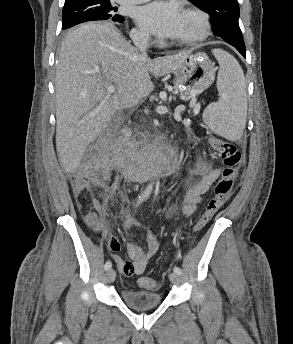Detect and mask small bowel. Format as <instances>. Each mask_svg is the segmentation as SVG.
<instances>
[{"label": "small bowel", "mask_w": 293, "mask_h": 344, "mask_svg": "<svg viewBox=\"0 0 293 344\" xmlns=\"http://www.w3.org/2000/svg\"><path fill=\"white\" fill-rule=\"evenodd\" d=\"M183 169L187 173L200 175V179L188 188L185 195L184 214L190 216L197 210L204 194L220 176L221 168L214 167L209 161L200 159L188 163ZM93 204L97 210H100V204L95 197H93ZM138 224L139 221L135 217L125 214L122 229L127 232L132 226ZM105 239L110 250L114 252L120 250V243L115 235L106 234ZM126 249L128 260L117 254L112 255V260L123 275L140 276L144 273L148 261L157 253L159 243L156 235L152 231H148L145 235V248L130 240L126 243Z\"/></svg>", "instance_id": "1"}]
</instances>
